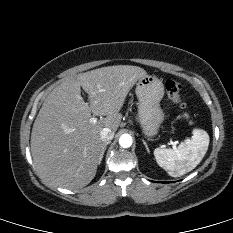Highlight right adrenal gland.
Returning a JSON list of instances; mask_svg holds the SVG:
<instances>
[{
	"label": "right adrenal gland",
	"instance_id": "1",
	"mask_svg": "<svg viewBox=\"0 0 233 233\" xmlns=\"http://www.w3.org/2000/svg\"><path fill=\"white\" fill-rule=\"evenodd\" d=\"M108 144H110V142H105V143L103 144L102 151H101L100 158H99V164H100L101 161H102L103 155H104V153H105V151H106V147H107Z\"/></svg>",
	"mask_w": 233,
	"mask_h": 233
}]
</instances>
